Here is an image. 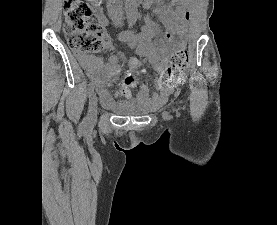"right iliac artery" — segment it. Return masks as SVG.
Listing matches in <instances>:
<instances>
[{"mask_svg":"<svg viewBox=\"0 0 277 225\" xmlns=\"http://www.w3.org/2000/svg\"><path fill=\"white\" fill-rule=\"evenodd\" d=\"M133 25H134V22H130L129 23V28H131ZM93 92H94V87L92 85H89L88 89H87L88 97H90L93 94Z\"/></svg>","mask_w":277,"mask_h":225,"instance_id":"82829eb1","label":"right iliac artery"}]
</instances>
